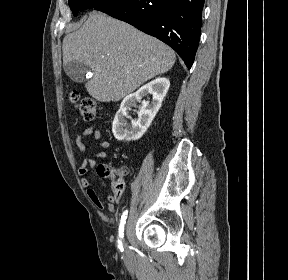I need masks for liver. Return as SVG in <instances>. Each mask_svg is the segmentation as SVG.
<instances>
[{
    "instance_id": "1",
    "label": "liver",
    "mask_w": 288,
    "mask_h": 280,
    "mask_svg": "<svg viewBox=\"0 0 288 280\" xmlns=\"http://www.w3.org/2000/svg\"><path fill=\"white\" fill-rule=\"evenodd\" d=\"M62 51L64 64L80 61L92 69L85 87L101 102L121 100L175 63L166 44L98 11L64 37Z\"/></svg>"
}]
</instances>
